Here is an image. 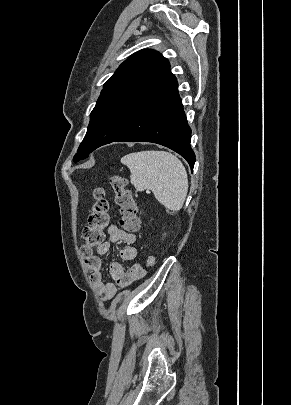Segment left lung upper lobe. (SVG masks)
Segmentation results:
<instances>
[{
    "mask_svg": "<svg viewBox=\"0 0 291 405\" xmlns=\"http://www.w3.org/2000/svg\"><path fill=\"white\" fill-rule=\"evenodd\" d=\"M169 68L168 60L154 50H140L124 61L104 84L74 162L114 142L127 129L143 97Z\"/></svg>",
    "mask_w": 291,
    "mask_h": 405,
    "instance_id": "obj_1",
    "label": "left lung upper lobe"
}]
</instances>
